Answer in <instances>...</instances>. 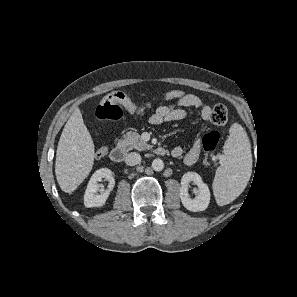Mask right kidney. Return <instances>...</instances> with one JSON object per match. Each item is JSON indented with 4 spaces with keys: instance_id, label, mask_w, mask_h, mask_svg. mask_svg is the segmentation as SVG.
Listing matches in <instances>:
<instances>
[{
    "instance_id": "right-kidney-1",
    "label": "right kidney",
    "mask_w": 297,
    "mask_h": 297,
    "mask_svg": "<svg viewBox=\"0 0 297 297\" xmlns=\"http://www.w3.org/2000/svg\"><path fill=\"white\" fill-rule=\"evenodd\" d=\"M102 178H105L109 181L108 190L101 194H97V190L99 188L98 182L101 181ZM115 185L114 178L112 176V172L110 169L101 168L97 170L90 178L85 195H84V205L86 207H101L104 206L109 193L112 191Z\"/></svg>"
}]
</instances>
